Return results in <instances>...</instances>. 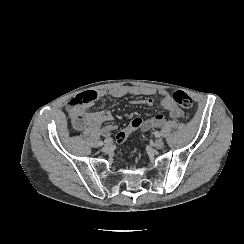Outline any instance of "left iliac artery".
Instances as JSON below:
<instances>
[{"label":"left iliac artery","instance_id":"left-iliac-artery-1","mask_svg":"<svg viewBox=\"0 0 244 244\" xmlns=\"http://www.w3.org/2000/svg\"><path fill=\"white\" fill-rule=\"evenodd\" d=\"M155 136H156V137H160V136H161V133L158 132V131H156V132H155Z\"/></svg>","mask_w":244,"mask_h":244}]
</instances>
